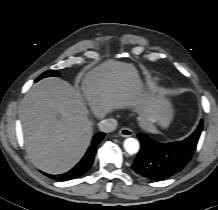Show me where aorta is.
Returning a JSON list of instances; mask_svg holds the SVG:
<instances>
[{"mask_svg": "<svg viewBox=\"0 0 218 210\" xmlns=\"http://www.w3.org/2000/svg\"><path fill=\"white\" fill-rule=\"evenodd\" d=\"M139 142L135 138H127L124 141V149L129 154H135L139 151Z\"/></svg>", "mask_w": 218, "mask_h": 210, "instance_id": "762f6f07", "label": "aorta"}]
</instances>
